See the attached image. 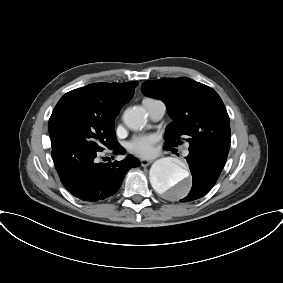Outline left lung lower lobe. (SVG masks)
Masks as SVG:
<instances>
[{
	"label": "left lung lower lobe",
	"mask_w": 283,
	"mask_h": 283,
	"mask_svg": "<svg viewBox=\"0 0 283 283\" xmlns=\"http://www.w3.org/2000/svg\"><path fill=\"white\" fill-rule=\"evenodd\" d=\"M186 160L193 176V185L189 194L181 202L193 201L207 194L216 183L225 165L223 162H211L191 152Z\"/></svg>",
	"instance_id": "0a47b994"
}]
</instances>
